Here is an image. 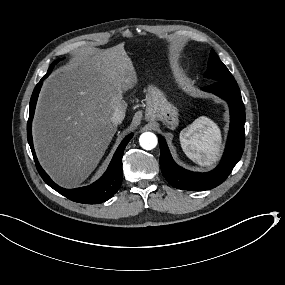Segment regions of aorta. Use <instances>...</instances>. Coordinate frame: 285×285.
<instances>
[{
    "instance_id": "obj_1",
    "label": "aorta",
    "mask_w": 285,
    "mask_h": 285,
    "mask_svg": "<svg viewBox=\"0 0 285 285\" xmlns=\"http://www.w3.org/2000/svg\"><path fill=\"white\" fill-rule=\"evenodd\" d=\"M140 145L145 150H152L157 146L158 139L155 134L151 132H145L140 136Z\"/></svg>"
}]
</instances>
